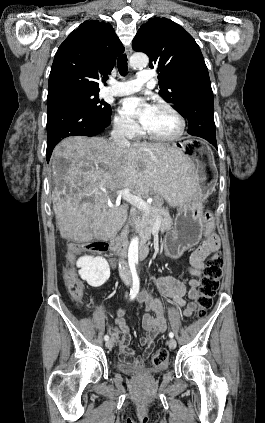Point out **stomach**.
Returning a JSON list of instances; mask_svg holds the SVG:
<instances>
[{
    "label": "stomach",
    "instance_id": "stomach-1",
    "mask_svg": "<svg viewBox=\"0 0 265 423\" xmlns=\"http://www.w3.org/2000/svg\"><path fill=\"white\" fill-rule=\"evenodd\" d=\"M179 152L189 180L184 202L178 209L173 228L165 237L166 256L176 259L196 245L202 234V199L212 190L216 174L213 152L208 144L192 138L172 147Z\"/></svg>",
    "mask_w": 265,
    "mask_h": 423
}]
</instances>
